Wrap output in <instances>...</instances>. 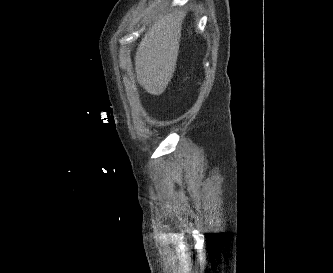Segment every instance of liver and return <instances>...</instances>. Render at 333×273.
<instances>
[{"mask_svg":"<svg viewBox=\"0 0 333 273\" xmlns=\"http://www.w3.org/2000/svg\"><path fill=\"white\" fill-rule=\"evenodd\" d=\"M182 17L158 16L138 45L135 72L138 83L150 94H162L175 71Z\"/></svg>","mask_w":333,"mask_h":273,"instance_id":"1","label":"liver"}]
</instances>
